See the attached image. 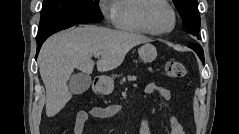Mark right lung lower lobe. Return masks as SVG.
<instances>
[{
  "instance_id": "obj_1",
  "label": "right lung lower lobe",
  "mask_w": 239,
  "mask_h": 134,
  "mask_svg": "<svg viewBox=\"0 0 239 134\" xmlns=\"http://www.w3.org/2000/svg\"><path fill=\"white\" fill-rule=\"evenodd\" d=\"M76 24H84V23H72V24H68V25L62 26V27H60V28H57V29H55V30L49 32L48 34L44 35L43 37L36 38V41H37V55H38V53H39V50H40V48H41L43 42H44L50 35H52V34L58 32V31H60V30H63V29H67V28H69V27H72V26H74V25H76ZM37 55H36V57H37Z\"/></svg>"
}]
</instances>
